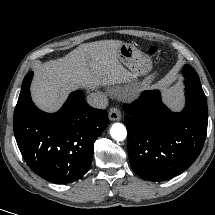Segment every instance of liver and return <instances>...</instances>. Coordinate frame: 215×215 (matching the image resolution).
I'll list each match as a JSON object with an SVG mask.
<instances>
[{
  "label": "liver",
  "instance_id": "6515ba94",
  "mask_svg": "<svg viewBox=\"0 0 215 215\" xmlns=\"http://www.w3.org/2000/svg\"><path fill=\"white\" fill-rule=\"evenodd\" d=\"M122 44L119 40L85 43L63 58L41 64L31 90L34 103L54 112L71 89L131 83L135 76L117 55Z\"/></svg>",
  "mask_w": 215,
  "mask_h": 215
}]
</instances>
